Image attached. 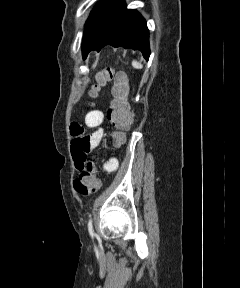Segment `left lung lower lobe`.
I'll return each mask as SVG.
<instances>
[{
    "mask_svg": "<svg viewBox=\"0 0 240 288\" xmlns=\"http://www.w3.org/2000/svg\"><path fill=\"white\" fill-rule=\"evenodd\" d=\"M107 44L138 49L146 59L150 56L146 22L136 10L127 9L124 0H110L104 15L82 47L83 59L90 51H99Z\"/></svg>",
    "mask_w": 240,
    "mask_h": 288,
    "instance_id": "0a47b994",
    "label": "left lung lower lobe"
}]
</instances>
